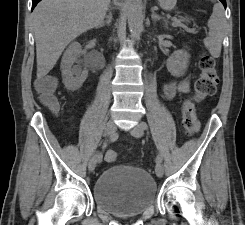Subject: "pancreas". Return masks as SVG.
<instances>
[{"mask_svg":"<svg viewBox=\"0 0 245 225\" xmlns=\"http://www.w3.org/2000/svg\"><path fill=\"white\" fill-rule=\"evenodd\" d=\"M184 21L188 22V20L182 19L179 22H177L173 27H182V28H185L186 29V26L182 23Z\"/></svg>","mask_w":245,"mask_h":225,"instance_id":"cf45deb5","label":"pancreas"}]
</instances>
